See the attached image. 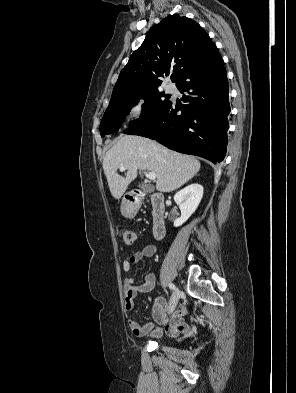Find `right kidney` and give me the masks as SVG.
Instances as JSON below:
<instances>
[{
    "label": "right kidney",
    "mask_w": 296,
    "mask_h": 393,
    "mask_svg": "<svg viewBox=\"0 0 296 393\" xmlns=\"http://www.w3.org/2000/svg\"><path fill=\"white\" fill-rule=\"evenodd\" d=\"M203 190L202 185L195 183L175 194L174 201L181 210V217L174 221L175 227L181 226L195 212L203 197Z\"/></svg>",
    "instance_id": "obj_1"
}]
</instances>
